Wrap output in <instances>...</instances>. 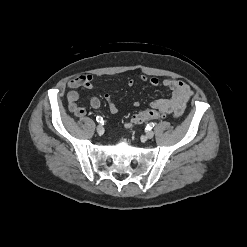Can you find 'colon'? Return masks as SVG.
Returning a JSON list of instances; mask_svg holds the SVG:
<instances>
[{"mask_svg": "<svg viewBox=\"0 0 247 247\" xmlns=\"http://www.w3.org/2000/svg\"><path fill=\"white\" fill-rule=\"evenodd\" d=\"M161 116L162 114L158 110L147 109L135 115L131 120V124L146 122L152 119H159Z\"/></svg>", "mask_w": 247, "mask_h": 247, "instance_id": "obj_1", "label": "colon"}]
</instances>
